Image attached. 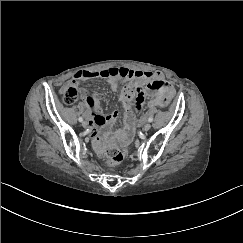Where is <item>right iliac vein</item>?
<instances>
[{
    "instance_id": "obj_1",
    "label": "right iliac vein",
    "mask_w": 243,
    "mask_h": 243,
    "mask_svg": "<svg viewBox=\"0 0 243 243\" xmlns=\"http://www.w3.org/2000/svg\"><path fill=\"white\" fill-rule=\"evenodd\" d=\"M82 126H83L84 128H86V127L88 126V122H87V121H83V122H82Z\"/></svg>"
}]
</instances>
